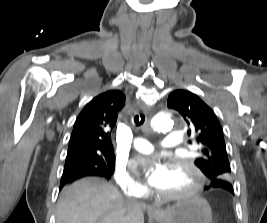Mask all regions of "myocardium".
<instances>
[{
	"label": "myocardium",
	"mask_w": 267,
	"mask_h": 223,
	"mask_svg": "<svg viewBox=\"0 0 267 223\" xmlns=\"http://www.w3.org/2000/svg\"><path fill=\"white\" fill-rule=\"evenodd\" d=\"M168 167L173 170L188 169L194 177V183L188 190L182 192L164 193L156 190L155 192L160 198L167 201H178L193 198L202 191L205 182L204 175L192 161L186 158L173 157L170 159Z\"/></svg>",
	"instance_id": "myocardium-1"
}]
</instances>
